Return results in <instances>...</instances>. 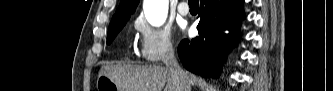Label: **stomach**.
<instances>
[{"instance_id": "0dacf381", "label": "stomach", "mask_w": 333, "mask_h": 91, "mask_svg": "<svg viewBox=\"0 0 333 91\" xmlns=\"http://www.w3.org/2000/svg\"><path fill=\"white\" fill-rule=\"evenodd\" d=\"M97 91H122L108 76L99 75L96 82Z\"/></svg>"}]
</instances>
